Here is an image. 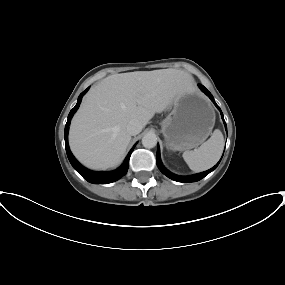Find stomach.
Segmentation results:
<instances>
[{
  "instance_id": "1",
  "label": "stomach",
  "mask_w": 285,
  "mask_h": 285,
  "mask_svg": "<svg viewBox=\"0 0 285 285\" xmlns=\"http://www.w3.org/2000/svg\"><path fill=\"white\" fill-rule=\"evenodd\" d=\"M214 124L215 112L208 99L201 93L192 92L175 99L161 128L168 149L187 151L202 144Z\"/></svg>"
}]
</instances>
